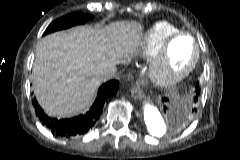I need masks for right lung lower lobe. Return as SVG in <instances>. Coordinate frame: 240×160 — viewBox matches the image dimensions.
Segmentation results:
<instances>
[{"label":"right lung lower lobe","instance_id":"98d812e1","mask_svg":"<svg viewBox=\"0 0 240 160\" xmlns=\"http://www.w3.org/2000/svg\"><path fill=\"white\" fill-rule=\"evenodd\" d=\"M119 87V81L111 80L104 83L98 91V96L90 110L84 115H79L74 118L58 120L51 118L44 113L42 108L37 103L36 99L32 101L35 106L36 115L41 123L46 126L53 134L60 137H76L88 132L99 119L104 103L113 95H116Z\"/></svg>","mask_w":240,"mask_h":160}]
</instances>
